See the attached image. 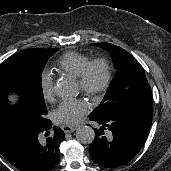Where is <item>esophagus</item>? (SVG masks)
<instances>
[{"label": "esophagus", "instance_id": "esophagus-1", "mask_svg": "<svg viewBox=\"0 0 171 171\" xmlns=\"http://www.w3.org/2000/svg\"><path fill=\"white\" fill-rule=\"evenodd\" d=\"M78 127L75 126V125H63L62 126V130L65 132V133H71V132H74Z\"/></svg>", "mask_w": 171, "mask_h": 171}]
</instances>
